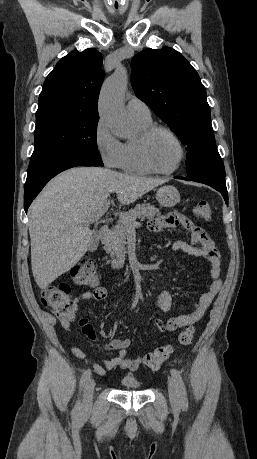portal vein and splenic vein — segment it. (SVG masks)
<instances>
[{
  "instance_id": "1",
  "label": "portal vein and splenic vein",
  "mask_w": 257,
  "mask_h": 459,
  "mask_svg": "<svg viewBox=\"0 0 257 459\" xmlns=\"http://www.w3.org/2000/svg\"><path fill=\"white\" fill-rule=\"evenodd\" d=\"M109 205H110V201L108 200L102 209H100L95 215L88 218L87 222L90 223V222H95L99 220V218L107 212ZM119 217L127 219L125 212H120ZM128 223L130 226H135L137 224L135 218L129 219Z\"/></svg>"
}]
</instances>
